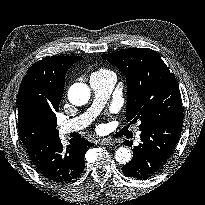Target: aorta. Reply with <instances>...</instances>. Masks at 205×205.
I'll return each instance as SVG.
<instances>
[{"label":"aorta","instance_id":"obj_1","mask_svg":"<svg viewBox=\"0 0 205 205\" xmlns=\"http://www.w3.org/2000/svg\"><path fill=\"white\" fill-rule=\"evenodd\" d=\"M90 88L84 83H75L68 90V99L75 106H82L90 99ZM131 151L126 147H120L115 151V159L121 164L130 162Z\"/></svg>","mask_w":205,"mask_h":205}]
</instances>
